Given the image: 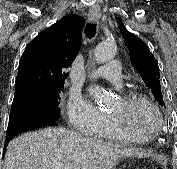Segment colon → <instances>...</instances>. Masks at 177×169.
Here are the masks:
<instances>
[{"instance_id": "colon-1", "label": "colon", "mask_w": 177, "mask_h": 169, "mask_svg": "<svg viewBox=\"0 0 177 169\" xmlns=\"http://www.w3.org/2000/svg\"><path fill=\"white\" fill-rule=\"evenodd\" d=\"M155 169H166V168H164V167H157V168H155Z\"/></svg>"}]
</instances>
